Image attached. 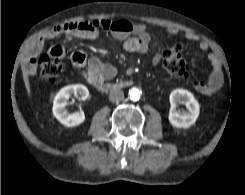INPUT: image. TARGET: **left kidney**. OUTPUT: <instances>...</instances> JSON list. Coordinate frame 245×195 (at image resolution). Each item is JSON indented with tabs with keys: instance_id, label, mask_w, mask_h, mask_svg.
I'll return each instance as SVG.
<instances>
[{
	"instance_id": "5707ae66",
	"label": "left kidney",
	"mask_w": 245,
	"mask_h": 195,
	"mask_svg": "<svg viewBox=\"0 0 245 195\" xmlns=\"http://www.w3.org/2000/svg\"><path fill=\"white\" fill-rule=\"evenodd\" d=\"M169 122L176 128H189L193 125L200 113V106L193 94L185 89H175L170 93ZM183 103L187 107V112L177 110V104Z\"/></svg>"
}]
</instances>
